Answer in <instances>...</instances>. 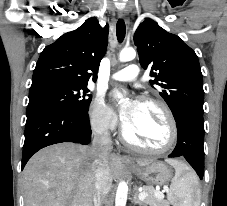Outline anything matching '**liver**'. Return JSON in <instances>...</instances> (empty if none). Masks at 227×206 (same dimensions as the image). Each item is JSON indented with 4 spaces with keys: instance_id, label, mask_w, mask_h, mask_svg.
I'll return each mask as SVG.
<instances>
[{
    "instance_id": "1",
    "label": "liver",
    "mask_w": 227,
    "mask_h": 206,
    "mask_svg": "<svg viewBox=\"0 0 227 206\" xmlns=\"http://www.w3.org/2000/svg\"><path fill=\"white\" fill-rule=\"evenodd\" d=\"M91 147L61 143L46 147L28 161L23 170L25 206H93L94 162ZM141 164L150 159L138 160ZM112 178L122 172V159L109 154Z\"/></svg>"
}]
</instances>
